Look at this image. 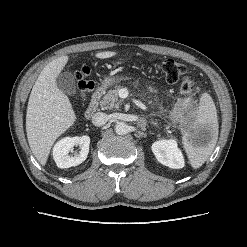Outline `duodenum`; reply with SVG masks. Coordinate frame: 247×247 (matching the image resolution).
<instances>
[{
  "label": "duodenum",
  "mask_w": 247,
  "mask_h": 247,
  "mask_svg": "<svg viewBox=\"0 0 247 247\" xmlns=\"http://www.w3.org/2000/svg\"><path fill=\"white\" fill-rule=\"evenodd\" d=\"M102 94H103V88L96 87L93 94H92L90 103H89V105L85 111V117L87 119L92 118L96 114V112L98 110L99 100H100Z\"/></svg>",
  "instance_id": "duodenum-1"
}]
</instances>
